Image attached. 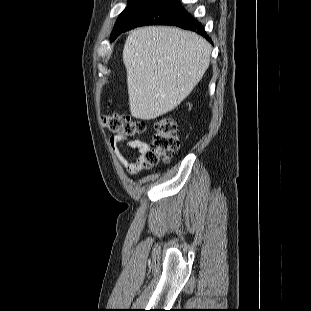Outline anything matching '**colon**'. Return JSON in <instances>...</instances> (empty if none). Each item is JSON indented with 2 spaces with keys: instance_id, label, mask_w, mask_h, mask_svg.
Here are the masks:
<instances>
[{
  "instance_id": "obj_1",
  "label": "colon",
  "mask_w": 311,
  "mask_h": 311,
  "mask_svg": "<svg viewBox=\"0 0 311 311\" xmlns=\"http://www.w3.org/2000/svg\"><path fill=\"white\" fill-rule=\"evenodd\" d=\"M102 124L109 131L125 137L142 134L146 129L144 122L119 114L104 115ZM179 146L177 123L170 116L161 117L154 126L150 148L145 156L143 167H152L161 161L170 160Z\"/></svg>"
}]
</instances>
